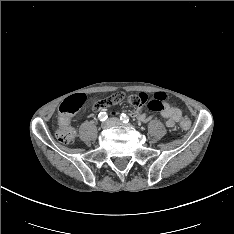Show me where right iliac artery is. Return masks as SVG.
Wrapping results in <instances>:
<instances>
[{
    "mask_svg": "<svg viewBox=\"0 0 234 234\" xmlns=\"http://www.w3.org/2000/svg\"><path fill=\"white\" fill-rule=\"evenodd\" d=\"M108 115L107 113L104 111V112H100L99 115H98V118L100 121H105L107 119Z\"/></svg>",
    "mask_w": 234,
    "mask_h": 234,
    "instance_id": "1",
    "label": "right iliac artery"
}]
</instances>
